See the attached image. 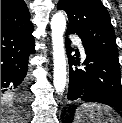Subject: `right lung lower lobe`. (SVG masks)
Here are the masks:
<instances>
[{
    "mask_svg": "<svg viewBox=\"0 0 122 123\" xmlns=\"http://www.w3.org/2000/svg\"><path fill=\"white\" fill-rule=\"evenodd\" d=\"M32 30L1 31V97L24 101L29 82L28 58L35 52Z\"/></svg>",
    "mask_w": 122,
    "mask_h": 123,
    "instance_id": "98d812e1",
    "label": "right lung lower lobe"
}]
</instances>
